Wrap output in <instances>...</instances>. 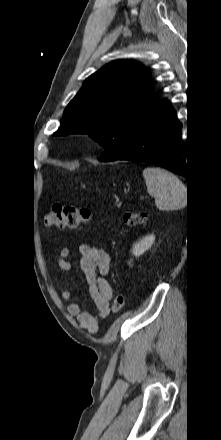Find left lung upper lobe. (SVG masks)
<instances>
[{
	"label": "left lung upper lobe",
	"instance_id": "5c2ea615",
	"mask_svg": "<svg viewBox=\"0 0 221 440\" xmlns=\"http://www.w3.org/2000/svg\"><path fill=\"white\" fill-rule=\"evenodd\" d=\"M148 69L136 61H113L89 76L66 107L54 133L88 134L104 147L100 161L122 156L141 117L158 101Z\"/></svg>",
	"mask_w": 221,
	"mask_h": 440
}]
</instances>
